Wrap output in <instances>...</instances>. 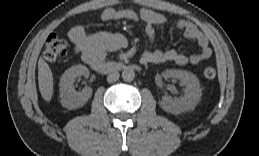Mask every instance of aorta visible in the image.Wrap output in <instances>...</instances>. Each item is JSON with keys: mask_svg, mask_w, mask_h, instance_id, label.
Returning <instances> with one entry per match:
<instances>
[{"mask_svg": "<svg viewBox=\"0 0 259 156\" xmlns=\"http://www.w3.org/2000/svg\"><path fill=\"white\" fill-rule=\"evenodd\" d=\"M122 78L124 81L130 82L135 78V72L132 68H125L122 72Z\"/></svg>", "mask_w": 259, "mask_h": 156, "instance_id": "aorta-1", "label": "aorta"}]
</instances>
